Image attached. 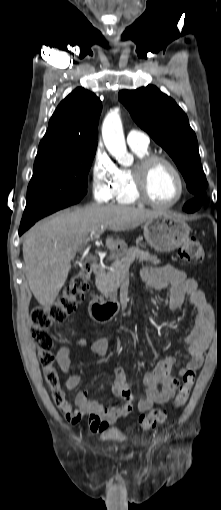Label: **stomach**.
Returning <instances> with one entry per match:
<instances>
[{"mask_svg":"<svg viewBox=\"0 0 221 510\" xmlns=\"http://www.w3.org/2000/svg\"><path fill=\"white\" fill-rule=\"evenodd\" d=\"M143 230L147 243L162 253L179 248L187 241L190 233V227L183 219L166 212L145 221ZM126 249V243L119 241L114 248L115 256L121 257Z\"/></svg>","mask_w":221,"mask_h":510,"instance_id":"stomach-1","label":"stomach"}]
</instances>
